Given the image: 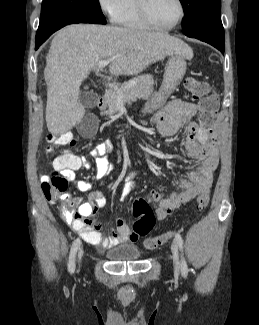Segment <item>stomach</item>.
Instances as JSON below:
<instances>
[{
	"instance_id": "obj_1",
	"label": "stomach",
	"mask_w": 259,
	"mask_h": 325,
	"mask_svg": "<svg viewBox=\"0 0 259 325\" xmlns=\"http://www.w3.org/2000/svg\"><path fill=\"white\" fill-rule=\"evenodd\" d=\"M185 72L186 61L184 57L172 55L165 66L162 86L160 90L154 93L147 101L144 111L151 113L163 106L167 98L182 81Z\"/></svg>"
}]
</instances>
